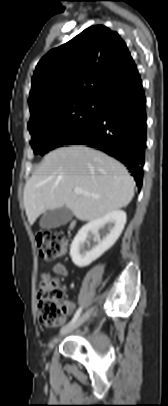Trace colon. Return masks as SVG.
Returning <instances> with one entry per match:
<instances>
[{
  "instance_id": "obj_1",
  "label": "colon",
  "mask_w": 168,
  "mask_h": 406,
  "mask_svg": "<svg viewBox=\"0 0 168 406\" xmlns=\"http://www.w3.org/2000/svg\"><path fill=\"white\" fill-rule=\"evenodd\" d=\"M39 257L43 261H52L68 252V242L58 233L41 231L36 234ZM64 290L58 281L44 275L37 293V310L40 321L47 326H57L63 317L60 305Z\"/></svg>"
}]
</instances>
